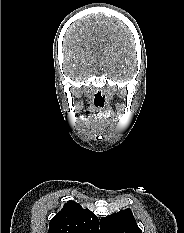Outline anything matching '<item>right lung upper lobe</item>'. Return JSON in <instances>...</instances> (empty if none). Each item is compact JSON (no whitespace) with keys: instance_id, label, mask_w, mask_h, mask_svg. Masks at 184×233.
<instances>
[{"instance_id":"cb5924a9","label":"right lung upper lobe","mask_w":184,"mask_h":233,"mask_svg":"<svg viewBox=\"0 0 184 233\" xmlns=\"http://www.w3.org/2000/svg\"><path fill=\"white\" fill-rule=\"evenodd\" d=\"M48 233H99V221L89 209L68 201L50 220Z\"/></svg>"}]
</instances>
